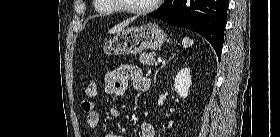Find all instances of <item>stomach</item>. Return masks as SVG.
Masks as SVG:
<instances>
[{
	"instance_id": "1",
	"label": "stomach",
	"mask_w": 280,
	"mask_h": 137,
	"mask_svg": "<svg viewBox=\"0 0 280 137\" xmlns=\"http://www.w3.org/2000/svg\"><path fill=\"white\" fill-rule=\"evenodd\" d=\"M167 41L166 33L155 23L122 30L107 41L103 50L107 55H133L145 50H158Z\"/></svg>"
}]
</instances>
